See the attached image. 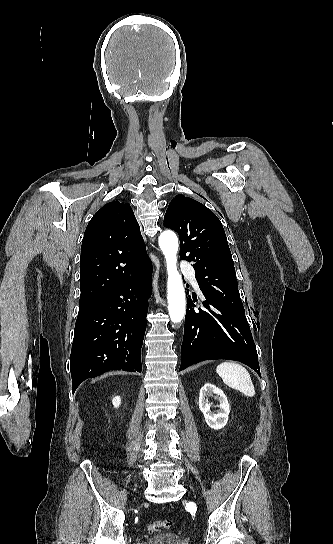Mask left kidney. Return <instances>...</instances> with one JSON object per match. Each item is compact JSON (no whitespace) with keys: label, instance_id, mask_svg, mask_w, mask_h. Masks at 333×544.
Returning <instances> with one entry per match:
<instances>
[{"label":"left kidney","instance_id":"5707ae66","mask_svg":"<svg viewBox=\"0 0 333 544\" xmlns=\"http://www.w3.org/2000/svg\"><path fill=\"white\" fill-rule=\"evenodd\" d=\"M215 394V398L219 401V410L211 411V406L208 402V397ZM199 409L203 413L207 425L214 429H222L228 422V416L230 413V406L226 395L223 391L213 384L206 383L201 389L199 394Z\"/></svg>","mask_w":333,"mask_h":544}]
</instances>
